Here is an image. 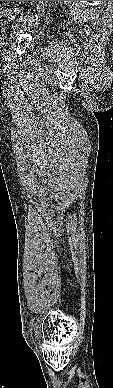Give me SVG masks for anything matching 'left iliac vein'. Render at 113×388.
<instances>
[{
    "instance_id": "4c4485c4",
    "label": "left iliac vein",
    "mask_w": 113,
    "mask_h": 388,
    "mask_svg": "<svg viewBox=\"0 0 113 388\" xmlns=\"http://www.w3.org/2000/svg\"><path fill=\"white\" fill-rule=\"evenodd\" d=\"M45 13V7L43 6L42 9H39L37 13L26 20H24L21 24L13 25L12 31H11V39H14L19 33L25 31L26 29H30L35 24H37L40 19L44 16Z\"/></svg>"
}]
</instances>
